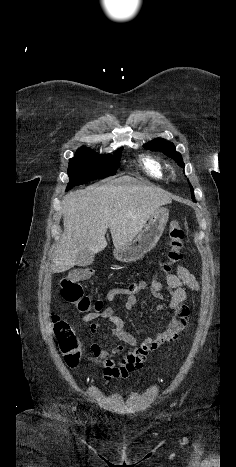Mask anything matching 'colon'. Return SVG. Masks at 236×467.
<instances>
[{"mask_svg": "<svg viewBox=\"0 0 236 467\" xmlns=\"http://www.w3.org/2000/svg\"><path fill=\"white\" fill-rule=\"evenodd\" d=\"M169 248L166 252V258L163 262V270L169 273L173 266L180 263L183 259V246L185 232L182 225L173 220L168 227ZM94 270L90 267H81L75 269L60 282V296L62 300L74 306L80 313L99 312L103 310L101 300L92 301L88 295L83 292L81 281L90 279ZM54 331L59 349L64 357L65 363L75 368L79 365L82 357L83 341L72 326L59 316L53 317Z\"/></svg>", "mask_w": 236, "mask_h": 467, "instance_id": "colon-1", "label": "colon"}]
</instances>
